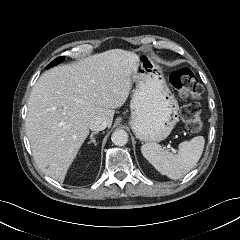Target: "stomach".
I'll list each match as a JSON object with an SVG mask.
<instances>
[{
  "mask_svg": "<svg viewBox=\"0 0 240 240\" xmlns=\"http://www.w3.org/2000/svg\"><path fill=\"white\" fill-rule=\"evenodd\" d=\"M133 80L136 88L130 102L131 129L140 141L160 142L178 122L179 107L153 53L138 56V71Z\"/></svg>",
  "mask_w": 240,
  "mask_h": 240,
  "instance_id": "1",
  "label": "stomach"
}]
</instances>
